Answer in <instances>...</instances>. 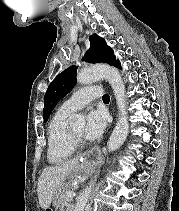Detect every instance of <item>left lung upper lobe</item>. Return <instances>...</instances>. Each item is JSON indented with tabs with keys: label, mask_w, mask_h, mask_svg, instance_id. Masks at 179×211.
I'll use <instances>...</instances> for the list:
<instances>
[{
	"label": "left lung upper lobe",
	"mask_w": 179,
	"mask_h": 211,
	"mask_svg": "<svg viewBox=\"0 0 179 211\" xmlns=\"http://www.w3.org/2000/svg\"><path fill=\"white\" fill-rule=\"evenodd\" d=\"M84 59L89 63L102 62L115 66L119 62V60H116L113 50L97 34L90 36V49L85 54ZM76 72V67L71 66L61 72L49 85L44 97V122L47 121L58 101L68 94L76 84Z\"/></svg>",
	"instance_id": "obj_1"
}]
</instances>
